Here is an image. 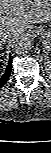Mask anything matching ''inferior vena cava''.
Masks as SVG:
<instances>
[{
    "instance_id": "1",
    "label": "inferior vena cava",
    "mask_w": 51,
    "mask_h": 153,
    "mask_svg": "<svg viewBox=\"0 0 51 153\" xmlns=\"http://www.w3.org/2000/svg\"><path fill=\"white\" fill-rule=\"evenodd\" d=\"M8 39V36L6 33H0V43L4 44Z\"/></svg>"
}]
</instances>
